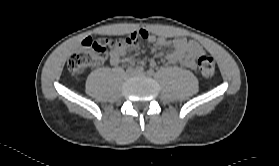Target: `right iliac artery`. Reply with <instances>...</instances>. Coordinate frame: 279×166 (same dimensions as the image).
<instances>
[{
    "label": "right iliac artery",
    "mask_w": 279,
    "mask_h": 166,
    "mask_svg": "<svg viewBox=\"0 0 279 166\" xmlns=\"http://www.w3.org/2000/svg\"><path fill=\"white\" fill-rule=\"evenodd\" d=\"M135 70H136L137 72H143V71H144V68H143V66H136Z\"/></svg>",
    "instance_id": "82829eb1"
}]
</instances>
